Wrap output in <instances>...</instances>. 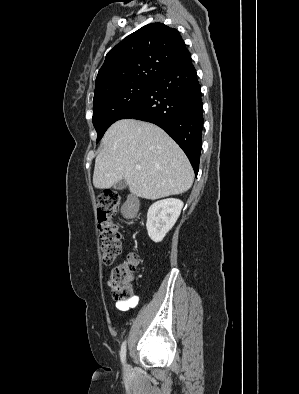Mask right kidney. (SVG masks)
I'll return each instance as SVG.
<instances>
[{
    "label": "right kidney",
    "mask_w": 299,
    "mask_h": 394,
    "mask_svg": "<svg viewBox=\"0 0 299 394\" xmlns=\"http://www.w3.org/2000/svg\"><path fill=\"white\" fill-rule=\"evenodd\" d=\"M182 208L183 202L175 198L157 201L149 207L146 228L153 242L163 240L177 221Z\"/></svg>",
    "instance_id": "ca27d5eb"
}]
</instances>
